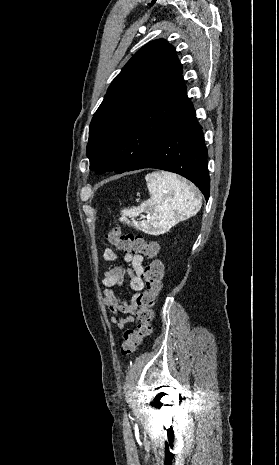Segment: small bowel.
<instances>
[{
    "instance_id": "c3829d8e",
    "label": "small bowel",
    "mask_w": 279,
    "mask_h": 465,
    "mask_svg": "<svg viewBox=\"0 0 279 465\" xmlns=\"http://www.w3.org/2000/svg\"><path fill=\"white\" fill-rule=\"evenodd\" d=\"M103 257L108 262L118 260L116 251L112 248H106ZM123 261L131 267L126 269L123 264H116L110 270L106 271L102 280L103 300L106 306L113 313L109 318L111 324L119 329L134 323L137 310L136 297L144 289L143 280V256L126 252L123 255ZM125 276L129 280L130 301L123 300L116 292L115 288L122 285ZM120 314H129L127 317H121Z\"/></svg>"
}]
</instances>
